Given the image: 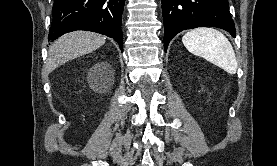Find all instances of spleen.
Listing matches in <instances>:
<instances>
[{
	"label": "spleen",
	"instance_id": "3e777b00",
	"mask_svg": "<svg viewBox=\"0 0 277 166\" xmlns=\"http://www.w3.org/2000/svg\"><path fill=\"white\" fill-rule=\"evenodd\" d=\"M186 49L229 74H235L238 63L230 41L220 31L202 27L188 31L182 37Z\"/></svg>",
	"mask_w": 277,
	"mask_h": 166
}]
</instances>
